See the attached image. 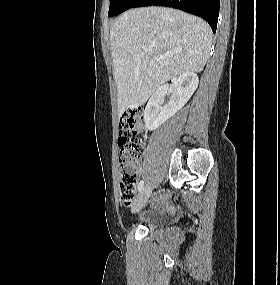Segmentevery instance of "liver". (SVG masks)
<instances>
[{"instance_id":"liver-1","label":"liver","mask_w":280,"mask_h":285,"mask_svg":"<svg viewBox=\"0 0 280 285\" xmlns=\"http://www.w3.org/2000/svg\"><path fill=\"white\" fill-rule=\"evenodd\" d=\"M211 44L210 26L182 11L147 7L123 13L110 29L119 115L142 106L171 78L201 72Z\"/></svg>"}]
</instances>
